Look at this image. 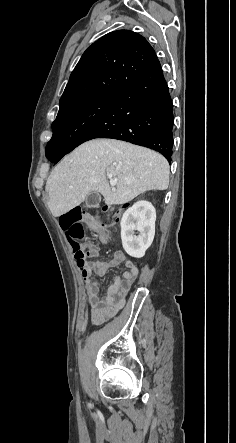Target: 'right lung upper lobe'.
Instances as JSON below:
<instances>
[{"instance_id":"obj_1","label":"right lung upper lobe","mask_w":236,"mask_h":443,"mask_svg":"<svg viewBox=\"0 0 236 443\" xmlns=\"http://www.w3.org/2000/svg\"><path fill=\"white\" fill-rule=\"evenodd\" d=\"M158 61L147 40L132 31L106 34L89 46L71 73L60 111L97 94L116 95Z\"/></svg>"}]
</instances>
